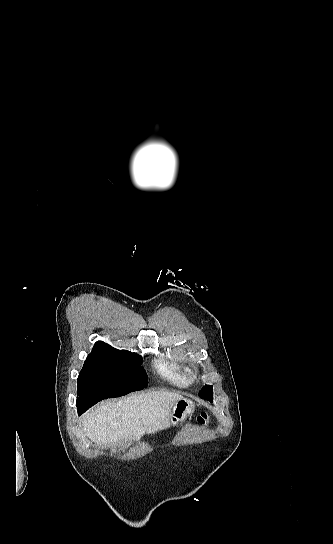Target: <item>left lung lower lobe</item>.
I'll return each mask as SVG.
<instances>
[{
  "label": "left lung lower lobe",
  "mask_w": 333,
  "mask_h": 544,
  "mask_svg": "<svg viewBox=\"0 0 333 544\" xmlns=\"http://www.w3.org/2000/svg\"><path fill=\"white\" fill-rule=\"evenodd\" d=\"M202 399L204 400H209V401H213V394H210L208 396H204Z\"/></svg>",
  "instance_id": "left-lung-lower-lobe-1"
}]
</instances>
